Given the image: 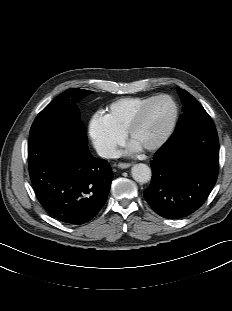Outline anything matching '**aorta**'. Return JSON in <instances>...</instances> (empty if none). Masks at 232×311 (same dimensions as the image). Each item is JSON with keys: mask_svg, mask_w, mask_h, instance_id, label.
<instances>
[{"mask_svg": "<svg viewBox=\"0 0 232 311\" xmlns=\"http://www.w3.org/2000/svg\"><path fill=\"white\" fill-rule=\"evenodd\" d=\"M132 177L139 183H147L151 179V169L148 165L139 163L135 164L131 169Z\"/></svg>", "mask_w": 232, "mask_h": 311, "instance_id": "obj_1", "label": "aorta"}]
</instances>
